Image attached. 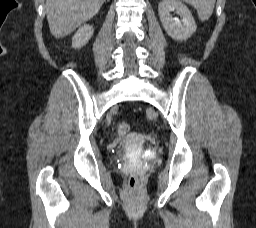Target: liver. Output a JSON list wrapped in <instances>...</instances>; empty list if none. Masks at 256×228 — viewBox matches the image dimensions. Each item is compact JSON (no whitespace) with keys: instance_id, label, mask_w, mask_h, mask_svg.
Masks as SVG:
<instances>
[{"instance_id":"liver-1","label":"liver","mask_w":256,"mask_h":228,"mask_svg":"<svg viewBox=\"0 0 256 228\" xmlns=\"http://www.w3.org/2000/svg\"><path fill=\"white\" fill-rule=\"evenodd\" d=\"M105 0H46L49 29L55 38H64L100 10Z\"/></svg>"}]
</instances>
